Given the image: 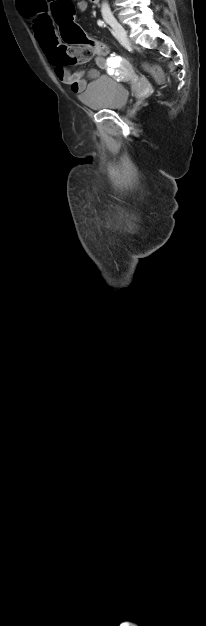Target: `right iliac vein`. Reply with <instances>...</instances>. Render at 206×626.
Masks as SVG:
<instances>
[{
    "instance_id": "1",
    "label": "right iliac vein",
    "mask_w": 206,
    "mask_h": 626,
    "mask_svg": "<svg viewBox=\"0 0 206 626\" xmlns=\"http://www.w3.org/2000/svg\"><path fill=\"white\" fill-rule=\"evenodd\" d=\"M105 20L108 24L112 26L121 41L125 44H129L127 31L124 29V27L112 16L106 17Z\"/></svg>"
}]
</instances>
